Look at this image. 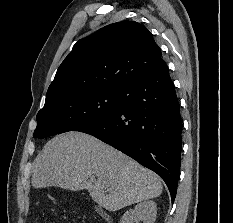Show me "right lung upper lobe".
Wrapping results in <instances>:
<instances>
[{
  "mask_svg": "<svg viewBox=\"0 0 233 223\" xmlns=\"http://www.w3.org/2000/svg\"><path fill=\"white\" fill-rule=\"evenodd\" d=\"M166 66L146 27L122 21L79 40L59 66L45 103L92 88H122Z\"/></svg>",
  "mask_w": 233,
  "mask_h": 223,
  "instance_id": "right-lung-upper-lobe-1",
  "label": "right lung upper lobe"
}]
</instances>
